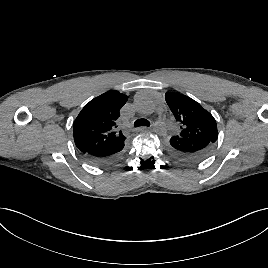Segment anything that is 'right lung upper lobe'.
<instances>
[{
	"instance_id": "obj_1",
	"label": "right lung upper lobe",
	"mask_w": 268,
	"mask_h": 268,
	"mask_svg": "<svg viewBox=\"0 0 268 268\" xmlns=\"http://www.w3.org/2000/svg\"><path fill=\"white\" fill-rule=\"evenodd\" d=\"M128 97L108 91L87 103L73 124V136L82 152L109 149L124 144L126 137L117 129L120 109Z\"/></svg>"
}]
</instances>
